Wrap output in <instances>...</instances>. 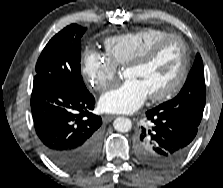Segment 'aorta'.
Here are the masks:
<instances>
[{
	"label": "aorta",
	"instance_id": "1",
	"mask_svg": "<svg viewBox=\"0 0 223 188\" xmlns=\"http://www.w3.org/2000/svg\"><path fill=\"white\" fill-rule=\"evenodd\" d=\"M113 126L116 131L125 133L130 131L132 127V122L126 117H118L114 120Z\"/></svg>",
	"mask_w": 223,
	"mask_h": 188
}]
</instances>
